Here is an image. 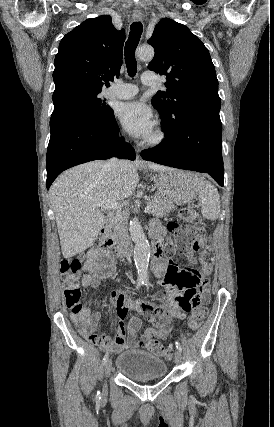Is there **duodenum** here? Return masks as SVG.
<instances>
[{
    "label": "duodenum",
    "mask_w": 274,
    "mask_h": 427,
    "mask_svg": "<svg viewBox=\"0 0 274 427\" xmlns=\"http://www.w3.org/2000/svg\"><path fill=\"white\" fill-rule=\"evenodd\" d=\"M109 223H110V219L108 218L106 221V224L100 229L96 246L98 248L113 246L114 253L118 258L129 256L132 252V246L126 242L114 243L113 239L111 238L108 232ZM161 234H162V231L160 230L155 231L152 234V237H153L152 254L154 259H158L161 256L163 251Z\"/></svg>",
    "instance_id": "1"
}]
</instances>
